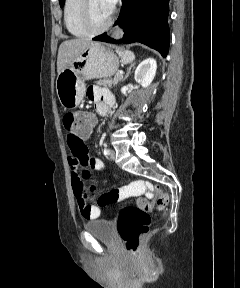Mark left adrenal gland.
Returning a JSON list of instances; mask_svg holds the SVG:
<instances>
[{
  "instance_id": "obj_1",
  "label": "left adrenal gland",
  "mask_w": 240,
  "mask_h": 288,
  "mask_svg": "<svg viewBox=\"0 0 240 288\" xmlns=\"http://www.w3.org/2000/svg\"><path fill=\"white\" fill-rule=\"evenodd\" d=\"M134 65H135V63H133V64L130 65V67H129L128 70H127V73H126L125 77L123 78V80H125V79L129 76L130 71H131V68H132Z\"/></svg>"
}]
</instances>
